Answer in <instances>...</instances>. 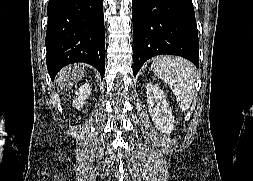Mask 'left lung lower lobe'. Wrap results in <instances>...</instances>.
<instances>
[{
    "mask_svg": "<svg viewBox=\"0 0 253 181\" xmlns=\"http://www.w3.org/2000/svg\"><path fill=\"white\" fill-rule=\"evenodd\" d=\"M134 76L156 55L182 56L199 66L192 0H132Z\"/></svg>",
    "mask_w": 253,
    "mask_h": 181,
    "instance_id": "0a47b994",
    "label": "left lung lower lobe"
}]
</instances>
